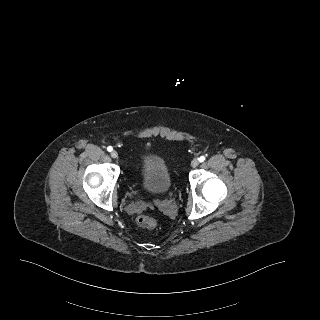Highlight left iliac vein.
Here are the masks:
<instances>
[{
	"label": "left iliac vein",
	"instance_id": "obj_1",
	"mask_svg": "<svg viewBox=\"0 0 320 320\" xmlns=\"http://www.w3.org/2000/svg\"><path fill=\"white\" fill-rule=\"evenodd\" d=\"M198 165H199V160L198 159H193L192 162H191V166L195 168Z\"/></svg>",
	"mask_w": 320,
	"mask_h": 320
}]
</instances>
